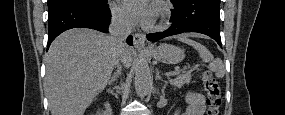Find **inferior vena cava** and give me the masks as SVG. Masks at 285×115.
I'll return each mask as SVG.
<instances>
[{
    "label": "inferior vena cava",
    "mask_w": 285,
    "mask_h": 115,
    "mask_svg": "<svg viewBox=\"0 0 285 115\" xmlns=\"http://www.w3.org/2000/svg\"><path fill=\"white\" fill-rule=\"evenodd\" d=\"M133 22L128 15L114 14L109 26V39L117 48V58L115 65L120 66L121 51L126 46L124 40L132 32Z\"/></svg>",
    "instance_id": "1"
}]
</instances>
